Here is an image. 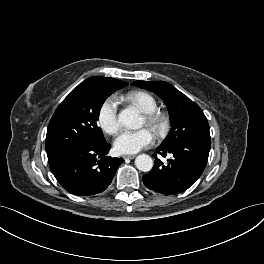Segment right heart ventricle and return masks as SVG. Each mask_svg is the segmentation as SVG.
Wrapping results in <instances>:
<instances>
[{"label":"right heart ventricle","instance_id":"1","mask_svg":"<svg viewBox=\"0 0 264 264\" xmlns=\"http://www.w3.org/2000/svg\"><path fill=\"white\" fill-rule=\"evenodd\" d=\"M122 99L132 103L143 113L154 111L158 106L153 95L141 90L131 91L122 96Z\"/></svg>","mask_w":264,"mask_h":264}]
</instances>
